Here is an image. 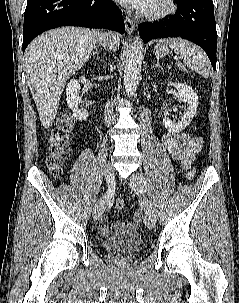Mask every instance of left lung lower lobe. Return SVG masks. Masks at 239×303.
Listing matches in <instances>:
<instances>
[{
  "instance_id": "left-lung-lower-lobe-1",
  "label": "left lung lower lobe",
  "mask_w": 239,
  "mask_h": 303,
  "mask_svg": "<svg viewBox=\"0 0 239 303\" xmlns=\"http://www.w3.org/2000/svg\"><path fill=\"white\" fill-rule=\"evenodd\" d=\"M171 18L139 25L144 43L156 38L181 37L201 46L216 69L217 32L212 0H176Z\"/></svg>"
}]
</instances>
